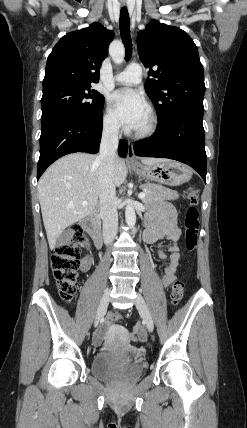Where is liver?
Masks as SVG:
<instances>
[{"instance_id": "liver-1", "label": "liver", "mask_w": 247, "mask_h": 428, "mask_svg": "<svg viewBox=\"0 0 247 428\" xmlns=\"http://www.w3.org/2000/svg\"><path fill=\"white\" fill-rule=\"evenodd\" d=\"M96 155L73 153L57 160L42 175L38 197L49 247L53 250L62 232L88 216L98 204L99 164ZM145 165L168 161L163 158H140ZM127 177L125 161L114 160L115 186ZM87 201V205H82Z\"/></svg>"}]
</instances>
